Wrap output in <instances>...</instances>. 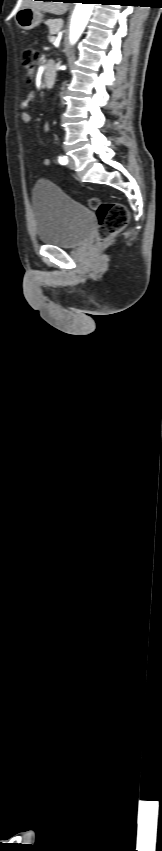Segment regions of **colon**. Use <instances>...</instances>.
I'll use <instances>...</instances> for the list:
<instances>
[{"mask_svg":"<svg viewBox=\"0 0 162 851\" xmlns=\"http://www.w3.org/2000/svg\"><path fill=\"white\" fill-rule=\"evenodd\" d=\"M38 55L35 49L29 45L22 50V64L27 72V81H31V74L35 69ZM89 206L97 213V242L103 244L114 235L122 231L128 221L127 208L119 202H101L98 198L89 199Z\"/></svg>","mask_w":162,"mask_h":851,"instance_id":"5ec220e1","label":"colon"}]
</instances>
